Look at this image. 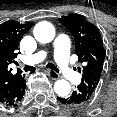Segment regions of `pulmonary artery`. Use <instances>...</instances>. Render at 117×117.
Returning a JSON list of instances; mask_svg holds the SVG:
<instances>
[{
    "label": "pulmonary artery",
    "mask_w": 117,
    "mask_h": 117,
    "mask_svg": "<svg viewBox=\"0 0 117 117\" xmlns=\"http://www.w3.org/2000/svg\"><path fill=\"white\" fill-rule=\"evenodd\" d=\"M70 41L64 35H58L53 44L54 59L60 72L70 81L79 82L81 76L75 72L69 58ZM45 51H40L32 56V60L38 61L46 57Z\"/></svg>",
    "instance_id": "pulmonary-artery-1"
}]
</instances>
